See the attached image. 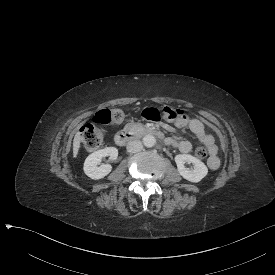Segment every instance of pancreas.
I'll use <instances>...</instances> for the list:
<instances>
[{"mask_svg":"<svg viewBox=\"0 0 275 275\" xmlns=\"http://www.w3.org/2000/svg\"><path fill=\"white\" fill-rule=\"evenodd\" d=\"M125 130L136 132L144 129V125L140 122H128L124 126Z\"/></svg>","mask_w":275,"mask_h":275,"instance_id":"obj_1","label":"pancreas"}]
</instances>
